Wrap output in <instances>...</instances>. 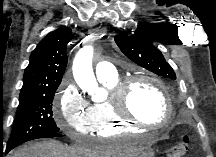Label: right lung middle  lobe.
I'll list each match as a JSON object with an SVG mask.
<instances>
[{
	"mask_svg": "<svg viewBox=\"0 0 216 157\" xmlns=\"http://www.w3.org/2000/svg\"><path fill=\"white\" fill-rule=\"evenodd\" d=\"M55 92L56 89L36 92L19 98L17 115L7 147H15L24 142L59 132L52 113Z\"/></svg>",
	"mask_w": 216,
	"mask_h": 157,
	"instance_id": "right-lung-middle-lobe-1",
	"label": "right lung middle lobe"
}]
</instances>
